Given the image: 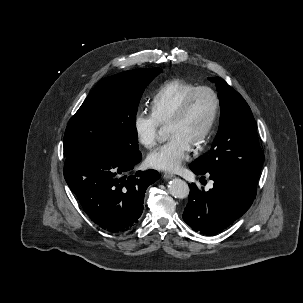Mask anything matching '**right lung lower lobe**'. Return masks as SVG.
Wrapping results in <instances>:
<instances>
[{
  "label": "right lung lower lobe",
  "instance_id": "obj_1",
  "mask_svg": "<svg viewBox=\"0 0 303 303\" xmlns=\"http://www.w3.org/2000/svg\"><path fill=\"white\" fill-rule=\"evenodd\" d=\"M141 160L128 159L101 145L81 148L66 157L64 177L86 214L103 229L126 232L138 222L154 170L125 174Z\"/></svg>",
  "mask_w": 303,
  "mask_h": 303
}]
</instances>
